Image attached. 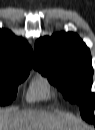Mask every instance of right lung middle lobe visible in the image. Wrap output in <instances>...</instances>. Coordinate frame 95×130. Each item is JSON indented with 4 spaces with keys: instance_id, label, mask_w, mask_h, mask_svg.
<instances>
[{
    "instance_id": "obj_1",
    "label": "right lung middle lobe",
    "mask_w": 95,
    "mask_h": 130,
    "mask_svg": "<svg viewBox=\"0 0 95 130\" xmlns=\"http://www.w3.org/2000/svg\"><path fill=\"white\" fill-rule=\"evenodd\" d=\"M29 69L0 70V105L12 102L17 94V86L28 76Z\"/></svg>"
}]
</instances>
